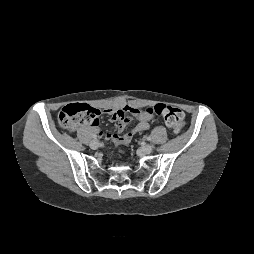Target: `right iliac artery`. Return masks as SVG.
<instances>
[{
	"instance_id": "obj_1",
	"label": "right iliac artery",
	"mask_w": 254,
	"mask_h": 254,
	"mask_svg": "<svg viewBox=\"0 0 254 254\" xmlns=\"http://www.w3.org/2000/svg\"><path fill=\"white\" fill-rule=\"evenodd\" d=\"M93 138L96 140V139H97V136H96V135H94V136H93Z\"/></svg>"
}]
</instances>
